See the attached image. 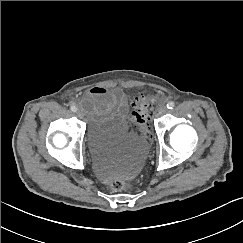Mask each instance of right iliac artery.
Returning <instances> with one entry per match:
<instances>
[{
  "mask_svg": "<svg viewBox=\"0 0 243 243\" xmlns=\"http://www.w3.org/2000/svg\"><path fill=\"white\" fill-rule=\"evenodd\" d=\"M70 109H71L73 112H76V111H77V107L74 106V105H72V106L70 107Z\"/></svg>",
  "mask_w": 243,
  "mask_h": 243,
  "instance_id": "82829eb1",
  "label": "right iliac artery"
}]
</instances>
